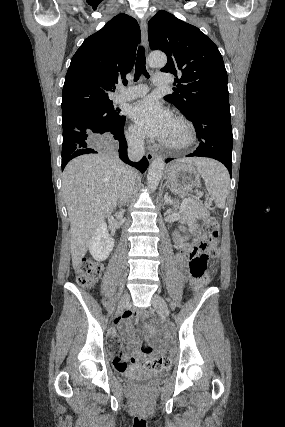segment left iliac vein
<instances>
[{
  "label": "left iliac vein",
  "instance_id": "obj_1",
  "mask_svg": "<svg viewBox=\"0 0 285 427\" xmlns=\"http://www.w3.org/2000/svg\"><path fill=\"white\" fill-rule=\"evenodd\" d=\"M152 303L159 314H161L166 319L169 318V309L167 303L161 296L155 294L152 298Z\"/></svg>",
  "mask_w": 285,
  "mask_h": 427
}]
</instances>
